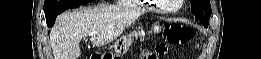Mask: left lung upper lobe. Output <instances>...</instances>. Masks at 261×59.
I'll return each mask as SVG.
<instances>
[{"instance_id":"1","label":"left lung upper lobe","mask_w":261,"mask_h":59,"mask_svg":"<svg viewBox=\"0 0 261 59\" xmlns=\"http://www.w3.org/2000/svg\"><path fill=\"white\" fill-rule=\"evenodd\" d=\"M192 13L201 23H209L211 5L209 0H190Z\"/></svg>"}]
</instances>
